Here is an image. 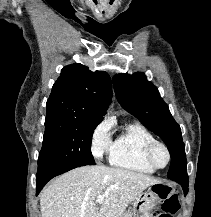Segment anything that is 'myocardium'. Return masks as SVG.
<instances>
[{
    "label": "myocardium",
    "instance_id": "obj_1",
    "mask_svg": "<svg viewBox=\"0 0 211 217\" xmlns=\"http://www.w3.org/2000/svg\"><path fill=\"white\" fill-rule=\"evenodd\" d=\"M157 148H162V149L165 151V153H166L167 160H166V163H165L163 166H159V165L155 162L154 153H155V151H156ZM145 158H146L147 163H148L152 168H154L155 170H161V169L166 168V167L169 165V163H170V161H171V152H170L168 146H167L164 142L155 140V141L151 142V143L146 147V150H145Z\"/></svg>",
    "mask_w": 211,
    "mask_h": 217
}]
</instances>
